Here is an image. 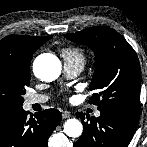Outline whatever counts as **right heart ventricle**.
<instances>
[{"label":"right heart ventricle","instance_id":"e07e8e85","mask_svg":"<svg viewBox=\"0 0 147 147\" xmlns=\"http://www.w3.org/2000/svg\"><path fill=\"white\" fill-rule=\"evenodd\" d=\"M61 54L65 62H79L81 64H84L85 62V55L83 51L79 48H64L62 49Z\"/></svg>","mask_w":147,"mask_h":147}]
</instances>
